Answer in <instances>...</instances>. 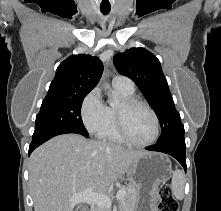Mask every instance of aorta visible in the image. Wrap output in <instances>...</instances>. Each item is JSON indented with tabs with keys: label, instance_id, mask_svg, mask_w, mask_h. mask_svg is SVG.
I'll return each mask as SVG.
<instances>
[{
	"label": "aorta",
	"instance_id": "aorta-1",
	"mask_svg": "<svg viewBox=\"0 0 221 211\" xmlns=\"http://www.w3.org/2000/svg\"><path fill=\"white\" fill-rule=\"evenodd\" d=\"M108 96H109V105L111 107H115L118 104L117 96L114 93H112V94L109 93Z\"/></svg>",
	"mask_w": 221,
	"mask_h": 211
}]
</instances>
